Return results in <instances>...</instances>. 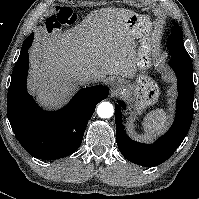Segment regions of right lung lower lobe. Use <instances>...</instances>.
<instances>
[{"label":"right lung lower lobe","instance_id":"right-lung-lower-lobe-1","mask_svg":"<svg viewBox=\"0 0 199 199\" xmlns=\"http://www.w3.org/2000/svg\"><path fill=\"white\" fill-rule=\"evenodd\" d=\"M28 45L26 42L25 46ZM28 48L21 50L12 72L7 95L8 119L18 141L31 156L44 160L63 158L79 148L88 120L96 105L108 97L109 89L102 85L83 88L61 110H42L26 91Z\"/></svg>","mask_w":199,"mask_h":199}]
</instances>
